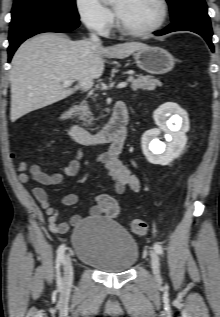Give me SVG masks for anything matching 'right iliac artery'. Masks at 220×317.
Segmentation results:
<instances>
[{
	"label": "right iliac artery",
	"instance_id": "obj_1",
	"mask_svg": "<svg viewBox=\"0 0 220 317\" xmlns=\"http://www.w3.org/2000/svg\"><path fill=\"white\" fill-rule=\"evenodd\" d=\"M65 259V245L62 244L57 251L56 259V271H57V280L60 281V266L64 264Z\"/></svg>",
	"mask_w": 220,
	"mask_h": 317
}]
</instances>
